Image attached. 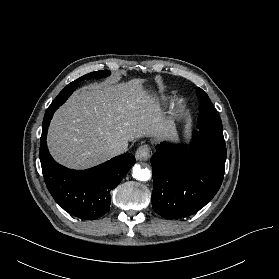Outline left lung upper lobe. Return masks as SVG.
Masks as SVG:
<instances>
[{"label": "left lung upper lobe", "instance_id": "5c2ea615", "mask_svg": "<svg viewBox=\"0 0 279 279\" xmlns=\"http://www.w3.org/2000/svg\"><path fill=\"white\" fill-rule=\"evenodd\" d=\"M197 96L199 99L200 110L197 123L198 130L220 142L225 143L221 119L212 106L208 95L201 88H197Z\"/></svg>", "mask_w": 279, "mask_h": 279}]
</instances>
